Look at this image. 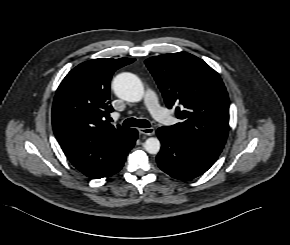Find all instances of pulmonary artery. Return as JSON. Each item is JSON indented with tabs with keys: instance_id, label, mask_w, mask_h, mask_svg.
Here are the masks:
<instances>
[{
	"instance_id": "e3ab8cb5",
	"label": "pulmonary artery",
	"mask_w": 290,
	"mask_h": 245,
	"mask_svg": "<svg viewBox=\"0 0 290 245\" xmlns=\"http://www.w3.org/2000/svg\"><path fill=\"white\" fill-rule=\"evenodd\" d=\"M144 100L150 113L157 121L167 125L173 123L172 116L159 105L158 99L152 90L146 91Z\"/></svg>"
}]
</instances>
